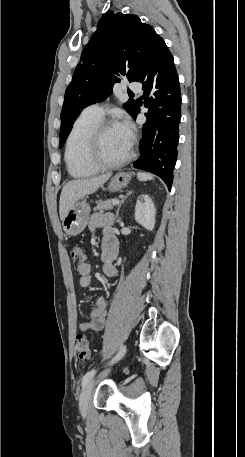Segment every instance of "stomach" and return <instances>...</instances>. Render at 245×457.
I'll use <instances>...</instances> for the list:
<instances>
[{"label": "stomach", "instance_id": "stomach-1", "mask_svg": "<svg viewBox=\"0 0 245 457\" xmlns=\"http://www.w3.org/2000/svg\"><path fill=\"white\" fill-rule=\"evenodd\" d=\"M131 176L132 172H117L115 176H112L109 182V190L114 192V190H121V188H125V186L129 184ZM89 214L90 208L86 202V198L76 200L75 204H73L70 210H68L62 222L64 233L69 235V237H76V235H80V233H82L85 229Z\"/></svg>", "mask_w": 245, "mask_h": 457}]
</instances>
